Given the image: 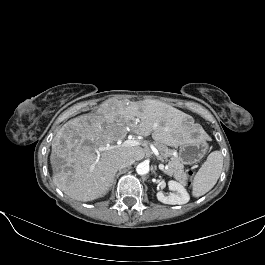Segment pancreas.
I'll return each instance as SVG.
<instances>
[{"label": "pancreas", "instance_id": "pancreas-1", "mask_svg": "<svg viewBox=\"0 0 265 265\" xmlns=\"http://www.w3.org/2000/svg\"><path fill=\"white\" fill-rule=\"evenodd\" d=\"M156 147L160 152L161 159L170 158L167 163L166 168L163 170L165 174L169 176H173L175 179L179 181H184L187 179V175L184 172V165L181 163L177 155H173L174 151L168 149L163 144H157Z\"/></svg>", "mask_w": 265, "mask_h": 265}]
</instances>
